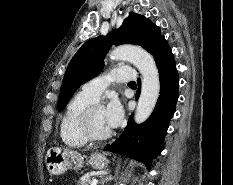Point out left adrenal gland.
I'll return each instance as SVG.
<instances>
[{
	"label": "left adrenal gland",
	"mask_w": 233,
	"mask_h": 185,
	"mask_svg": "<svg viewBox=\"0 0 233 185\" xmlns=\"http://www.w3.org/2000/svg\"><path fill=\"white\" fill-rule=\"evenodd\" d=\"M109 180V176H105V178L102 179V184H104V182H107Z\"/></svg>",
	"instance_id": "left-adrenal-gland-1"
}]
</instances>
